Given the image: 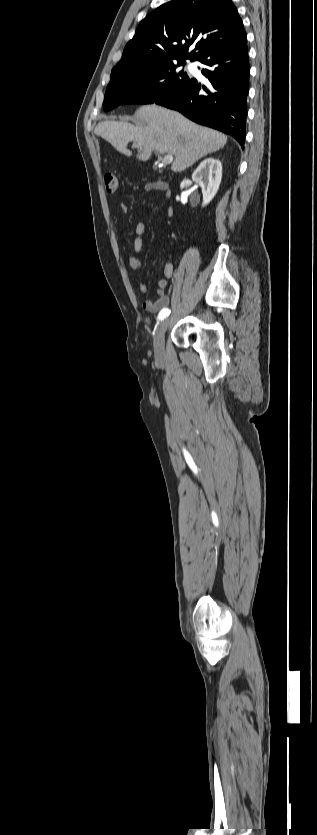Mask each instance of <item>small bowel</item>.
Wrapping results in <instances>:
<instances>
[{
    "label": "small bowel",
    "instance_id": "small-bowel-1",
    "mask_svg": "<svg viewBox=\"0 0 317 835\" xmlns=\"http://www.w3.org/2000/svg\"><path fill=\"white\" fill-rule=\"evenodd\" d=\"M157 189L158 188H157L156 184H154V183L148 184L146 186L147 191H153V190H157ZM121 208L124 212H126V210H127L126 205H122ZM167 215L168 216L173 215L172 208L167 209ZM145 230H146V226L143 222H139L136 225L135 239H134V242H133V248H134L135 254H139L142 250V247H143V238L142 237H143V234L145 233ZM128 265H129V268L132 271L138 272L140 270V267H141V262H140L138 257L132 256L128 260ZM173 274H174V265H173L172 262H167L166 265L164 266L163 277L157 283V296L155 298H152V299H147L143 302V308L146 311L151 312V313H156L159 310L161 311L163 308H165L169 304L170 298L166 293V287H167L170 279L173 277ZM137 284H138L139 292L146 293L148 291V286L142 280H138Z\"/></svg>",
    "mask_w": 317,
    "mask_h": 835
}]
</instances>
